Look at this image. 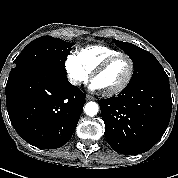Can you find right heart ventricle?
<instances>
[{
	"mask_svg": "<svg viewBox=\"0 0 178 178\" xmlns=\"http://www.w3.org/2000/svg\"><path fill=\"white\" fill-rule=\"evenodd\" d=\"M121 53L119 50L104 45H89L79 50L78 57L84 67L91 73L105 59Z\"/></svg>",
	"mask_w": 178,
	"mask_h": 178,
	"instance_id": "obj_1",
	"label": "right heart ventricle"
}]
</instances>
